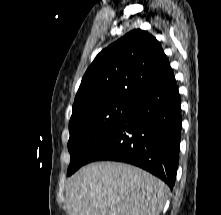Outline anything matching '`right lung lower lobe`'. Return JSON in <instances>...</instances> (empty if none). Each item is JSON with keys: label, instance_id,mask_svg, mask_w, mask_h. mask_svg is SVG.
I'll return each instance as SVG.
<instances>
[{"label": "right lung lower lobe", "instance_id": "1", "mask_svg": "<svg viewBox=\"0 0 221 215\" xmlns=\"http://www.w3.org/2000/svg\"><path fill=\"white\" fill-rule=\"evenodd\" d=\"M181 123V101L174 78L134 101L130 111L90 154L87 163H129L159 177L172 189L179 161Z\"/></svg>", "mask_w": 221, "mask_h": 215}]
</instances>
